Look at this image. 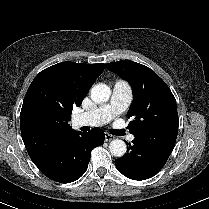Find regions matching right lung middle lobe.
Returning a JSON list of instances; mask_svg holds the SVG:
<instances>
[{"mask_svg":"<svg viewBox=\"0 0 209 209\" xmlns=\"http://www.w3.org/2000/svg\"><path fill=\"white\" fill-rule=\"evenodd\" d=\"M35 107L37 111L44 116L64 115L67 118H71L72 107H62L56 104V102L48 96V93H45L43 87L36 92Z\"/></svg>","mask_w":209,"mask_h":209,"instance_id":"right-lung-middle-lobe-1","label":"right lung middle lobe"}]
</instances>
